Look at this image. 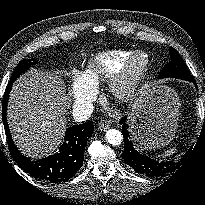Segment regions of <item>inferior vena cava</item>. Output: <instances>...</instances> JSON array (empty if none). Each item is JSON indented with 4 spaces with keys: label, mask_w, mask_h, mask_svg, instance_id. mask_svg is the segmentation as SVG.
Listing matches in <instances>:
<instances>
[{
    "label": "inferior vena cava",
    "mask_w": 205,
    "mask_h": 205,
    "mask_svg": "<svg viewBox=\"0 0 205 205\" xmlns=\"http://www.w3.org/2000/svg\"><path fill=\"white\" fill-rule=\"evenodd\" d=\"M94 110L93 104L89 101H85L82 103H76L73 106L72 116L75 121L83 122L90 118L92 112Z\"/></svg>",
    "instance_id": "602c4592"
}]
</instances>
